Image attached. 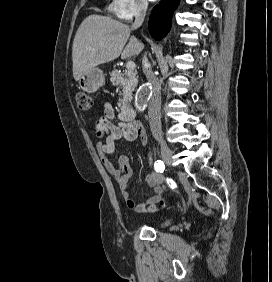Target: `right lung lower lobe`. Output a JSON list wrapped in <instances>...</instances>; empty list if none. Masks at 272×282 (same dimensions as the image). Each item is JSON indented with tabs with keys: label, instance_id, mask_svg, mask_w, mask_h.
I'll return each instance as SVG.
<instances>
[{
	"label": "right lung lower lobe",
	"instance_id": "obj_1",
	"mask_svg": "<svg viewBox=\"0 0 272 282\" xmlns=\"http://www.w3.org/2000/svg\"><path fill=\"white\" fill-rule=\"evenodd\" d=\"M179 0H162L156 5L150 15L149 32L155 40L166 36L171 27V18Z\"/></svg>",
	"mask_w": 272,
	"mask_h": 282
}]
</instances>
